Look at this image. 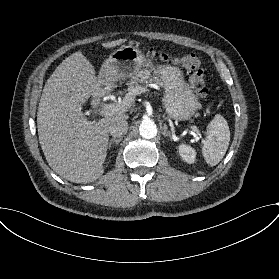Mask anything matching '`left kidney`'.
<instances>
[{
	"instance_id": "1",
	"label": "left kidney",
	"mask_w": 279,
	"mask_h": 279,
	"mask_svg": "<svg viewBox=\"0 0 279 279\" xmlns=\"http://www.w3.org/2000/svg\"><path fill=\"white\" fill-rule=\"evenodd\" d=\"M179 152L183 158L188 163H193L194 157H195V152L188 146L181 145L179 147Z\"/></svg>"
}]
</instances>
